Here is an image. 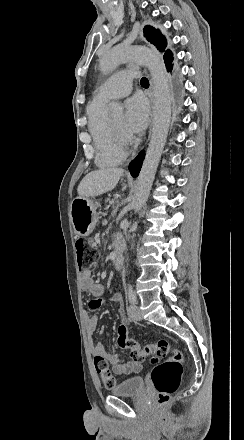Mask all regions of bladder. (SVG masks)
Segmentation results:
<instances>
[{"label": "bladder", "mask_w": 244, "mask_h": 440, "mask_svg": "<svg viewBox=\"0 0 244 440\" xmlns=\"http://www.w3.org/2000/svg\"><path fill=\"white\" fill-rule=\"evenodd\" d=\"M145 389V380L142 377H130L111 388V394L138 395Z\"/></svg>", "instance_id": "31cf9c89"}]
</instances>
